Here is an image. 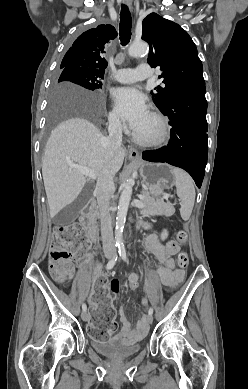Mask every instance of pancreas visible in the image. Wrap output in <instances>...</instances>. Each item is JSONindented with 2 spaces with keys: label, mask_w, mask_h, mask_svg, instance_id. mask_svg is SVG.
<instances>
[{
  "label": "pancreas",
  "mask_w": 248,
  "mask_h": 389,
  "mask_svg": "<svg viewBox=\"0 0 248 389\" xmlns=\"http://www.w3.org/2000/svg\"><path fill=\"white\" fill-rule=\"evenodd\" d=\"M142 195L143 199H141V202L146 206V210L142 211L144 214L156 213L172 215L175 212V209L169 201L164 202L163 199H155L151 197L147 190H144Z\"/></svg>",
  "instance_id": "obj_1"
}]
</instances>
